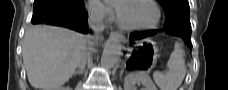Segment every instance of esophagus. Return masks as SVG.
Listing matches in <instances>:
<instances>
[{
	"label": "esophagus",
	"mask_w": 228,
	"mask_h": 90,
	"mask_svg": "<svg viewBox=\"0 0 228 90\" xmlns=\"http://www.w3.org/2000/svg\"><path fill=\"white\" fill-rule=\"evenodd\" d=\"M110 37L117 38V39L122 40V41L125 40L124 36L120 32H117V31L110 32Z\"/></svg>",
	"instance_id": "1"
}]
</instances>
